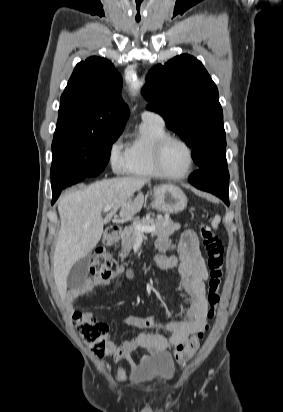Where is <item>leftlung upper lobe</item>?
<instances>
[{
    "mask_svg": "<svg viewBox=\"0 0 283 412\" xmlns=\"http://www.w3.org/2000/svg\"><path fill=\"white\" fill-rule=\"evenodd\" d=\"M149 110L160 113L169 129L193 149L192 158L203 169L211 154L224 151L223 112L216 85L196 58L184 54L157 65L143 89Z\"/></svg>",
    "mask_w": 283,
    "mask_h": 412,
    "instance_id": "5c2ea615",
    "label": "left lung upper lobe"
}]
</instances>
